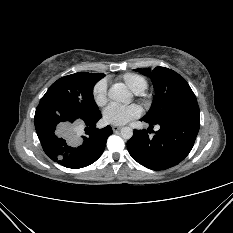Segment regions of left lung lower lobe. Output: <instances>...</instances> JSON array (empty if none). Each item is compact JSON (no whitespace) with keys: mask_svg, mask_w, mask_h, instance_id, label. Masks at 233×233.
<instances>
[{"mask_svg":"<svg viewBox=\"0 0 233 233\" xmlns=\"http://www.w3.org/2000/svg\"><path fill=\"white\" fill-rule=\"evenodd\" d=\"M149 128L160 125L150 137L148 132L134 130L127 148L135 161L152 170H165L179 164L193 148L200 126V113L195 95L182 100L173 110Z\"/></svg>","mask_w":233,"mask_h":233,"instance_id":"obj_1","label":"left lung lower lobe"}]
</instances>
